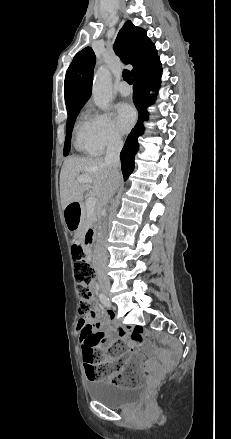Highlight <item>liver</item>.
Returning <instances> with one entry per match:
<instances>
[{"instance_id":"liver-1","label":"liver","mask_w":231,"mask_h":439,"mask_svg":"<svg viewBox=\"0 0 231 439\" xmlns=\"http://www.w3.org/2000/svg\"><path fill=\"white\" fill-rule=\"evenodd\" d=\"M80 173L92 179L89 183H77L76 179ZM120 178L118 179V183ZM113 177L110 167L102 158L72 157L67 159L62 166L60 173V197L63 208L81 201L85 192L90 197L97 199L98 204L103 206Z\"/></svg>"}]
</instances>
